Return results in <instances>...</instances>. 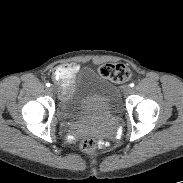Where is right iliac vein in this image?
Masks as SVG:
<instances>
[{
    "mask_svg": "<svg viewBox=\"0 0 183 183\" xmlns=\"http://www.w3.org/2000/svg\"><path fill=\"white\" fill-rule=\"evenodd\" d=\"M49 90H50L51 92H55V91H56V89H55L54 86H51V87L49 88Z\"/></svg>",
    "mask_w": 183,
    "mask_h": 183,
    "instance_id": "right-iliac-vein-1",
    "label": "right iliac vein"
}]
</instances>
